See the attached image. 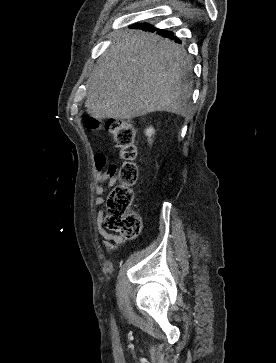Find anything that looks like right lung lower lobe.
<instances>
[{"label":"right lung lower lobe","instance_id":"right-lung-lower-lobe-1","mask_svg":"<svg viewBox=\"0 0 276 363\" xmlns=\"http://www.w3.org/2000/svg\"><path fill=\"white\" fill-rule=\"evenodd\" d=\"M133 28H141L143 30H150V31H155V28H153L152 26H150L148 23H139V24H136L134 26H132ZM157 33L164 36V37H167V38H170V39H173L175 37H173V33L170 32V31H167V30H157ZM177 43H180V40L179 39H176L175 40Z\"/></svg>","mask_w":276,"mask_h":363}]
</instances>
